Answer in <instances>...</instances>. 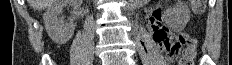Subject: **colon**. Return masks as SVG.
<instances>
[{
  "label": "colon",
  "mask_w": 232,
  "mask_h": 65,
  "mask_svg": "<svg viewBox=\"0 0 232 65\" xmlns=\"http://www.w3.org/2000/svg\"><path fill=\"white\" fill-rule=\"evenodd\" d=\"M193 11L201 14L205 10L206 0H192ZM161 47L167 59L172 60L178 56L183 49L179 65H193L196 56V42L185 35H173L169 33L163 38Z\"/></svg>",
  "instance_id": "1"
}]
</instances>
